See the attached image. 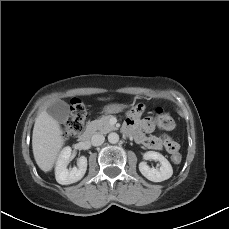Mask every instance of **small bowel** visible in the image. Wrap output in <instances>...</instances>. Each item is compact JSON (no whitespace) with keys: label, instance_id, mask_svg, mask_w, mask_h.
<instances>
[{"label":"small bowel","instance_id":"obj_1","mask_svg":"<svg viewBox=\"0 0 229 229\" xmlns=\"http://www.w3.org/2000/svg\"><path fill=\"white\" fill-rule=\"evenodd\" d=\"M145 108L143 105H135L133 106L127 113L126 120L123 126V132L129 136H133L135 140L147 147L151 150H161L165 145L167 140H171L167 135L162 136H153V135H145V133H149L153 131L155 127V123L150 118H142V114ZM158 116L156 124L159 128L170 131L172 128H166L161 123V118L164 116H168L167 114L162 113V109H157Z\"/></svg>","mask_w":229,"mask_h":229}]
</instances>
